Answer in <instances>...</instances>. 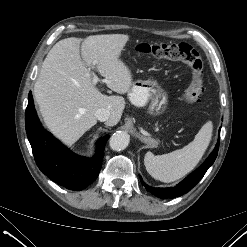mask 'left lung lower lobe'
<instances>
[{"label":"left lung lower lobe","instance_id":"1","mask_svg":"<svg viewBox=\"0 0 247 247\" xmlns=\"http://www.w3.org/2000/svg\"><path fill=\"white\" fill-rule=\"evenodd\" d=\"M219 142H220V138L218 139L215 149L209 155L207 160L198 169H196L193 173L187 176L183 181H181L175 187L153 188L149 185H146L143 182L142 178L140 177L141 183L143 184V186L146 188L147 191L151 192L153 195L161 199L175 198L189 192L203 178L208 168L215 161L218 154Z\"/></svg>","mask_w":247,"mask_h":247}]
</instances>
